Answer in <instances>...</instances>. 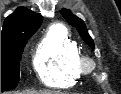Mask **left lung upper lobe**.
Here are the masks:
<instances>
[{
    "mask_svg": "<svg viewBox=\"0 0 121 94\" xmlns=\"http://www.w3.org/2000/svg\"><path fill=\"white\" fill-rule=\"evenodd\" d=\"M61 14L63 17L68 21L69 24L76 27L80 36L83 38V40L94 49V42L92 38L89 36L88 31L86 29V26L83 22V20L79 19L78 17L71 14L69 10L62 9Z\"/></svg>",
    "mask_w": 121,
    "mask_h": 94,
    "instance_id": "1",
    "label": "left lung upper lobe"
}]
</instances>
